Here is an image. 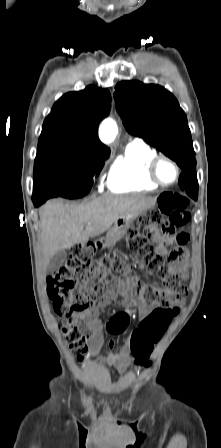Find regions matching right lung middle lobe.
Masks as SVG:
<instances>
[{"label": "right lung middle lobe", "mask_w": 221, "mask_h": 448, "mask_svg": "<svg viewBox=\"0 0 221 448\" xmlns=\"http://www.w3.org/2000/svg\"><path fill=\"white\" fill-rule=\"evenodd\" d=\"M110 153H89L69 146L37 149L33 193L80 198L88 194Z\"/></svg>", "instance_id": "right-lung-middle-lobe-1"}]
</instances>
